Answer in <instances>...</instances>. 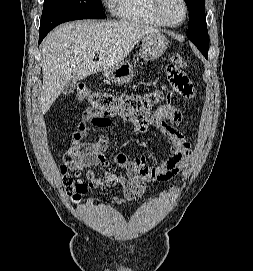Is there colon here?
I'll return each instance as SVG.
<instances>
[{"instance_id": "5ec220e1", "label": "colon", "mask_w": 253, "mask_h": 271, "mask_svg": "<svg viewBox=\"0 0 253 271\" xmlns=\"http://www.w3.org/2000/svg\"><path fill=\"white\" fill-rule=\"evenodd\" d=\"M172 77L175 89L180 94L192 97L194 87L187 76L181 71L187 67V62L180 54L172 56ZM75 97L78 101L88 100L92 111L100 115L111 113H146L153 109L162 99L161 90H151L145 93H122L112 94L105 92H92L89 86L79 84L76 87ZM62 184L68 195L78 198L80 193L86 192L87 183L80 178V171H69L67 167L62 166Z\"/></svg>"}]
</instances>
